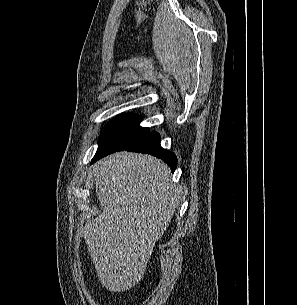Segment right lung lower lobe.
I'll return each instance as SVG.
<instances>
[{"mask_svg":"<svg viewBox=\"0 0 297 305\" xmlns=\"http://www.w3.org/2000/svg\"><path fill=\"white\" fill-rule=\"evenodd\" d=\"M160 140V135L157 132H148L145 136L132 143L131 145L98 150L92 159L91 164L103 158L104 156H107L108 154L114 153L116 151L127 150L132 152L147 153L160 158L166 162L171 168L172 172H174L177 166V158L173 152L164 150L161 147Z\"/></svg>","mask_w":297,"mask_h":305,"instance_id":"obj_1","label":"right lung lower lobe"}]
</instances>
